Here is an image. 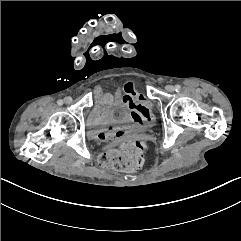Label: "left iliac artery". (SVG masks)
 Returning <instances> with one entry per match:
<instances>
[{
	"instance_id": "44dca946",
	"label": "left iliac artery",
	"mask_w": 241,
	"mask_h": 241,
	"mask_svg": "<svg viewBox=\"0 0 241 241\" xmlns=\"http://www.w3.org/2000/svg\"><path fill=\"white\" fill-rule=\"evenodd\" d=\"M180 89H181V86L180 85H175V90L177 91V92H179L180 91Z\"/></svg>"
}]
</instances>
